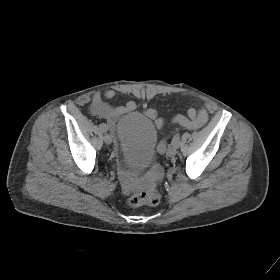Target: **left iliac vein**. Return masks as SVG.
<instances>
[{"mask_svg": "<svg viewBox=\"0 0 280 280\" xmlns=\"http://www.w3.org/2000/svg\"><path fill=\"white\" fill-rule=\"evenodd\" d=\"M176 153H177V150H176V148L173 147V146H170V147L167 149V152H166L167 156H169V157H174V156L176 155Z\"/></svg>", "mask_w": 280, "mask_h": 280, "instance_id": "4c4485c4", "label": "left iliac vein"}]
</instances>
